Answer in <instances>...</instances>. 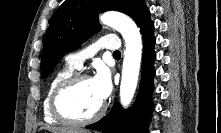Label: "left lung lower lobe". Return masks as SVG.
<instances>
[{"mask_svg": "<svg viewBox=\"0 0 221 133\" xmlns=\"http://www.w3.org/2000/svg\"><path fill=\"white\" fill-rule=\"evenodd\" d=\"M154 24L151 21L141 29L143 35L142 78L136 103L131 110L124 111L115 103L110 113L100 121L86 126L88 129L101 130L103 133H147L153 109L152 92L155 75Z\"/></svg>", "mask_w": 221, "mask_h": 133, "instance_id": "obj_1", "label": "left lung lower lobe"}]
</instances>
